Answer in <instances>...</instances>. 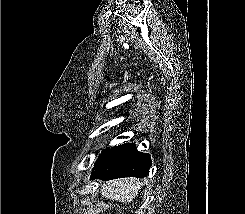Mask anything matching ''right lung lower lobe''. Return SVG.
<instances>
[{"instance_id":"98d812e1","label":"right lung lower lobe","mask_w":245,"mask_h":214,"mask_svg":"<svg viewBox=\"0 0 245 214\" xmlns=\"http://www.w3.org/2000/svg\"><path fill=\"white\" fill-rule=\"evenodd\" d=\"M120 153L118 167L108 173L93 175L91 179L104 181L123 177H145L151 167L150 155L136 150L134 144H123L118 147Z\"/></svg>"}]
</instances>
